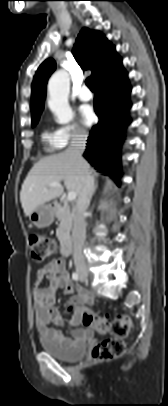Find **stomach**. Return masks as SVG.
Here are the masks:
<instances>
[{"mask_svg": "<svg viewBox=\"0 0 168 406\" xmlns=\"http://www.w3.org/2000/svg\"><path fill=\"white\" fill-rule=\"evenodd\" d=\"M54 208L51 205H40L35 208L29 218L33 225L38 228L49 226L54 220Z\"/></svg>", "mask_w": 168, "mask_h": 406, "instance_id": "0dacf381", "label": "stomach"}]
</instances>
